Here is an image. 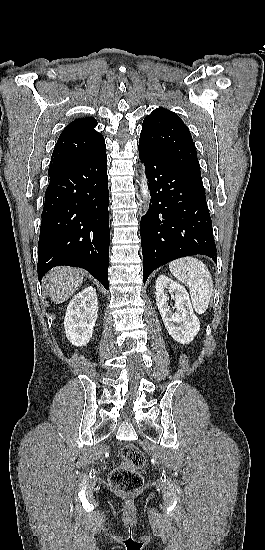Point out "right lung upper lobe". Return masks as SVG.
Returning <instances> with one entry per match:
<instances>
[{
  "mask_svg": "<svg viewBox=\"0 0 265 550\" xmlns=\"http://www.w3.org/2000/svg\"><path fill=\"white\" fill-rule=\"evenodd\" d=\"M96 125L97 121L92 117L72 121L58 138L49 169L103 153L106 149L105 140L95 130Z\"/></svg>",
  "mask_w": 265,
  "mask_h": 550,
  "instance_id": "right-lung-upper-lobe-1",
  "label": "right lung upper lobe"
}]
</instances>
